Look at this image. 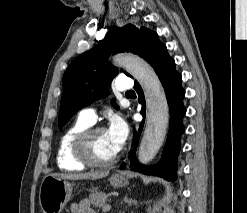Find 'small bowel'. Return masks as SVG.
<instances>
[{"mask_svg":"<svg viewBox=\"0 0 247 213\" xmlns=\"http://www.w3.org/2000/svg\"><path fill=\"white\" fill-rule=\"evenodd\" d=\"M71 213H94L89 200H83L71 205Z\"/></svg>","mask_w":247,"mask_h":213,"instance_id":"small-bowel-1","label":"small bowel"}]
</instances>
